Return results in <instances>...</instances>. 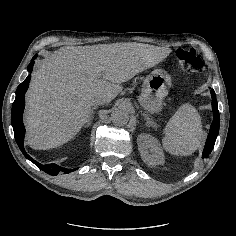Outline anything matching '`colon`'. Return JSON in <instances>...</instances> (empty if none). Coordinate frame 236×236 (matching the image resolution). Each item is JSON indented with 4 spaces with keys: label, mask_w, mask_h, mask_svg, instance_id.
Listing matches in <instances>:
<instances>
[{
    "label": "colon",
    "mask_w": 236,
    "mask_h": 236,
    "mask_svg": "<svg viewBox=\"0 0 236 236\" xmlns=\"http://www.w3.org/2000/svg\"><path fill=\"white\" fill-rule=\"evenodd\" d=\"M176 60L177 64L187 73L194 74L199 78H204L207 74L202 57L192 47L178 49L176 51Z\"/></svg>",
    "instance_id": "1"
}]
</instances>
